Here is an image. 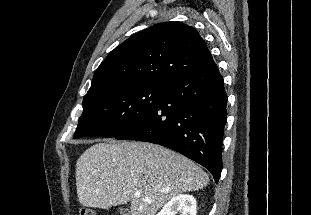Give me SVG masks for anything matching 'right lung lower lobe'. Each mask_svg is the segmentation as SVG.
I'll list each match as a JSON object with an SVG mask.
<instances>
[{
  "label": "right lung lower lobe",
  "mask_w": 311,
  "mask_h": 215,
  "mask_svg": "<svg viewBox=\"0 0 311 215\" xmlns=\"http://www.w3.org/2000/svg\"><path fill=\"white\" fill-rule=\"evenodd\" d=\"M163 85L161 103L115 138L173 149L207 168L217 183L227 119V95L218 66L209 64Z\"/></svg>",
  "instance_id": "1"
}]
</instances>
